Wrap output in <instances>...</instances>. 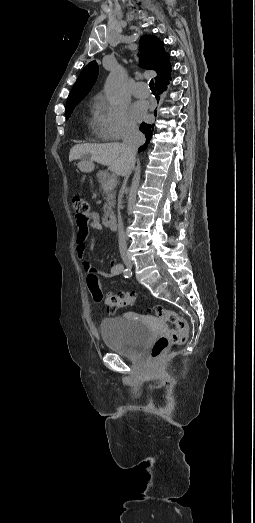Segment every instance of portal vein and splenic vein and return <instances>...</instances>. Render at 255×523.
Segmentation results:
<instances>
[{"mask_svg":"<svg viewBox=\"0 0 255 523\" xmlns=\"http://www.w3.org/2000/svg\"><path fill=\"white\" fill-rule=\"evenodd\" d=\"M111 173H114V170H111ZM113 186H115L114 180H110V182H105L104 190H112Z\"/></svg>","mask_w":255,"mask_h":523,"instance_id":"18ae733b","label":"portal vein and splenic vein"}]
</instances>
